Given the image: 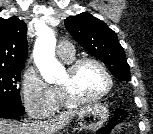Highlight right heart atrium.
I'll return each mask as SVG.
<instances>
[{"instance_id":"right-heart-atrium-1","label":"right heart atrium","mask_w":153,"mask_h":134,"mask_svg":"<svg viewBox=\"0 0 153 134\" xmlns=\"http://www.w3.org/2000/svg\"><path fill=\"white\" fill-rule=\"evenodd\" d=\"M21 93L24 107L33 117H48L57 107L56 89L44 81L34 68L24 73Z\"/></svg>"}]
</instances>
